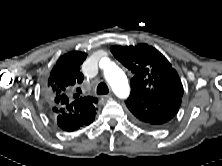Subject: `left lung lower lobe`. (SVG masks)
<instances>
[{
  "label": "left lung lower lobe",
  "mask_w": 222,
  "mask_h": 166,
  "mask_svg": "<svg viewBox=\"0 0 222 166\" xmlns=\"http://www.w3.org/2000/svg\"><path fill=\"white\" fill-rule=\"evenodd\" d=\"M181 97L176 94H160L155 99L131 95L126 101L131 120L138 126L154 129L170 121L179 110Z\"/></svg>",
  "instance_id": "left-lung-lower-lobe-1"
}]
</instances>
